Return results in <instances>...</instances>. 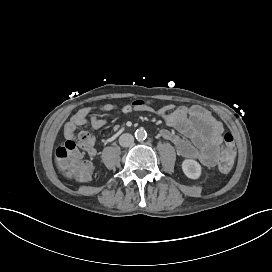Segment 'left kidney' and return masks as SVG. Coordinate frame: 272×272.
Masks as SVG:
<instances>
[{
    "label": "left kidney",
    "instance_id": "1",
    "mask_svg": "<svg viewBox=\"0 0 272 272\" xmlns=\"http://www.w3.org/2000/svg\"><path fill=\"white\" fill-rule=\"evenodd\" d=\"M184 174L191 179H198L201 175V165L192 159H186L182 163Z\"/></svg>",
    "mask_w": 272,
    "mask_h": 272
}]
</instances>
